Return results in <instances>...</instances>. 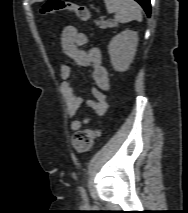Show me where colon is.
Returning a JSON list of instances; mask_svg holds the SVG:
<instances>
[{"label": "colon", "mask_w": 188, "mask_h": 213, "mask_svg": "<svg viewBox=\"0 0 188 213\" xmlns=\"http://www.w3.org/2000/svg\"><path fill=\"white\" fill-rule=\"evenodd\" d=\"M61 11L73 12L82 20H88L90 18V12L87 7L75 4L70 0H47L41 7L42 14H52ZM100 134V129H83L76 131L72 138L73 148L79 153L88 151Z\"/></svg>", "instance_id": "1"}]
</instances>
